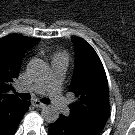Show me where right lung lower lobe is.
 <instances>
[{
    "label": "right lung lower lobe",
    "instance_id": "98d812e1",
    "mask_svg": "<svg viewBox=\"0 0 135 135\" xmlns=\"http://www.w3.org/2000/svg\"><path fill=\"white\" fill-rule=\"evenodd\" d=\"M29 106H30V102L25 101L21 107L19 114L16 116V118H14V119H11L10 117L4 118L0 122V135H13L15 133L20 121L22 120L23 115L28 110ZM4 111L5 110L1 111V117L3 114H5Z\"/></svg>",
    "mask_w": 135,
    "mask_h": 135
}]
</instances>
